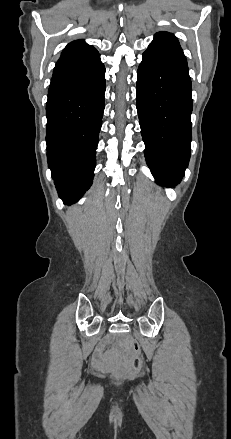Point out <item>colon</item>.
Listing matches in <instances>:
<instances>
[{"instance_id":"colon-1","label":"colon","mask_w":231,"mask_h":439,"mask_svg":"<svg viewBox=\"0 0 231 439\" xmlns=\"http://www.w3.org/2000/svg\"><path fill=\"white\" fill-rule=\"evenodd\" d=\"M130 350L133 353V359L131 361V368L129 372V376L136 375L142 368V352L140 345L137 341H132L130 343Z\"/></svg>"}]
</instances>
